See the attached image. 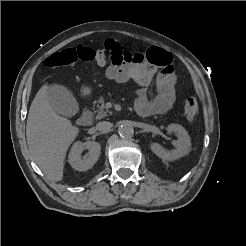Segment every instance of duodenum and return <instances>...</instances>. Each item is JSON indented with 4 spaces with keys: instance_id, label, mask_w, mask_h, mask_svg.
Listing matches in <instances>:
<instances>
[{
    "instance_id": "1",
    "label": "duodenum",
    "mask_w": 246,
    "mask_h": 246,
    "mask_svg": "<svg viewBox=\"0 0 246 246\" xmlns=\"http://www.w3.org/2000/svg\"><path fill=\"white\" fill-rule=\"evenodd\" d=\"M93 119L92 111L88 108L83 109L80 117L78 118V123L82 126H88L91 124Z\"/></svg>"
}]
</instances>
